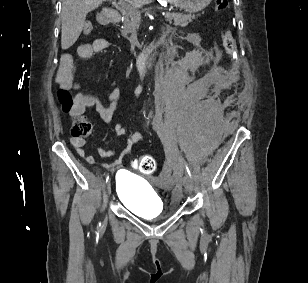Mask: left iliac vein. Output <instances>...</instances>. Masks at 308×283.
Segmentation results:
<instances>
[{
  "label": "left iliac vein",
  "mask_w": 308,
  "mask_h": 283,
  "mask_svg": "<svg viewBox=\"0 0 308 283\" xmlns=\"http://www.w3.org/2000/svg\"><path fill=\"white\" fill-rule=\"evenodd\" d=\"M183 185L189 193H191L194 190V182H193L192 178L188 175H186L183 178Z\"/></svg>",
  "instance_id": "1"
}]
</instances>
